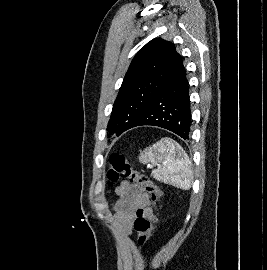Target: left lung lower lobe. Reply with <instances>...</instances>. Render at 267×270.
Here are the masks:
<instances>
[{
	"label": "left lung lower lobe",
	"instance_id": "0a47b994",
	"mask_svg": "<svg viewBox=\"0 0 267 270\" xmlns=\"http://www.w3.org/2000/svg\"><path fill=\"white\" fill-rule=\"evenodd\" d=\"M191 122L188 81L180 57L167 83L130 128L158 126L188 141L191 137Z\"/></svg>",
	"mask_w": 267,
	"mask_h": 270
}]
</instances>
